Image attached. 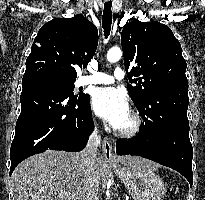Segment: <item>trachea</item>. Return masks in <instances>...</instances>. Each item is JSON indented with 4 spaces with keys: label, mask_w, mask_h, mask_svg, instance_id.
<instances>
[{
    "label": "trachea",
    "mask_w": 205,
    "mask_h": 200,
    "mask_svg": "<svg viewBox=\"0 0 205 200\" xmlns=\"http://www.w3.org/2000/svg\"><path fill=\"white\" fill-rule=\"evenodd\" d=\"M112 3L111 1L105 2L103 17H102V26L104 30V35L107 38L110 34L111 24H112V11H111Z\"/></svg>",
    "instance_id": "trachea-1"
}]
</instances>
